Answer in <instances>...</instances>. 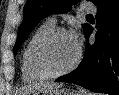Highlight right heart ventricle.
Listing matches in <instances>:
<instances>
[{
	"label": "right heart ventricle",
	"instance_id": "1",
	"mask_svg": "<svg viewBox=\"0 0 119 95\" xmlns=\"http://www.w3.org/2000/svg\"><path fill=\"white\" fill-rule=\"evenodd\" d=\"M55 28V23L47 20L30 36L21 55V70L23 79L27 82L42 81L47 77L40 73L33 63V52L38 41Z\"/></svg>",
	"mask_w": 119,
	"mask_h": 95
}]
</instances>
